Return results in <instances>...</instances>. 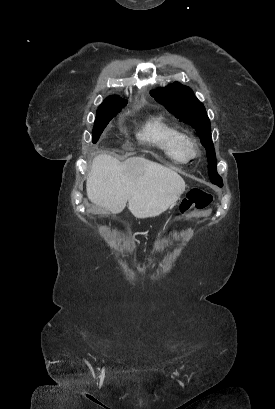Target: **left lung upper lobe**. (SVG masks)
Masks as SVG:
<instances>
[{
  "mask_svg": "<svg viewBox=\"0 0 275 409\" xmlns=\"http://www.w3.org/2000/svg\"><path fill=\"white\" fill-rule=\"evenodd\" d=\"M151 95L176 118L195 128L201 137V144L206 148L210 181L222 187L223 182L216 169V155L211 138L210 120L204 105L195 97L190 88L177 82L165 88L151 91Z\"/></svg>",
  "mask_w": 275,
  "mask_h": 409,
  "instance_id": "left-lung-upper-lobe-1",
  "label": "left lung upper lobe"
}]
</instances>
